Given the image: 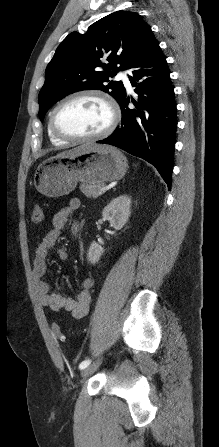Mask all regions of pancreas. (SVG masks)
<instances>
[{"label": "pancreas", "instance_id": "cf45deb5", "mask_svg": "<svg viewBox=\"0 0 219 447\" xmlns=\"http://www.w3.org/2000/svg\"><path fill=\"white\" fill-rule=\"evenodd\" d=\"M102 187H104L103 183H96V184L82 183L80 185V190L86 197L97 198L102 194V192H99V190Z\"/></svg>", "mask_w": 219, "mask_h": 447}]
</instances>
